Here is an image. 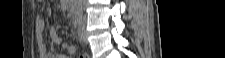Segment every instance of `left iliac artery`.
Masks as SVG:
<instances>
[{
  "label": "left iliac artery",
  "instance_id": "obj_1",
  "mask_svg": "<svg viewBox=\"0 0 225 58\" xmlns=\"http://www.w3.org/2000/svg\"><path fill=\"white\" fill-rule=\"evenodd\" d=\"M79 20H80V17H77V20H76V22H78V23H79Z\"/></svg>",
  "mask_w": 225,
  "mask_h": 58
}]
</instances>
